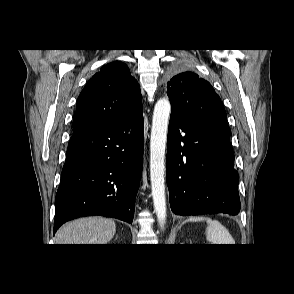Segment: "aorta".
Returning a JSON list of instances; mask_svg holds the SVG:
<instances>
[{
	"label": "aorta",
	"instance_id": "1",
	"mask_svg": "<svg viewBox=\"0 0 294 294\" xmlns=\"http://www.w3.org/2000/svg\"><path fill=\"white\" fill-rule=\"evenodd\" d=\"M171 104L167 98L159 99L154 107L150 138V181L154 210L161 227L166 221L165 148Z\"/></svg>",
	"mask_w": 294,
	"mask_h": 294
}]
</instances>
